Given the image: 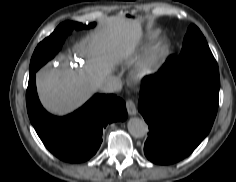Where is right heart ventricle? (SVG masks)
<instances>
[{
	"label": "right heart ventricle",
	"instance_id": "right-heart-ventricle-1",
	"mask_svg": "<svg viewBox=\"0 0 236 182\" xmlns=\"http://www.w3.org/2000/svg\"><path fill=\"white\" fill-rule=\"evenodd\" d=\"M157 34L155 32L147 33L142 41L141 52L156 38Z\"/></svg>",
	"mask_w": 236,
	"mask_h": 182
}]
</instances>
